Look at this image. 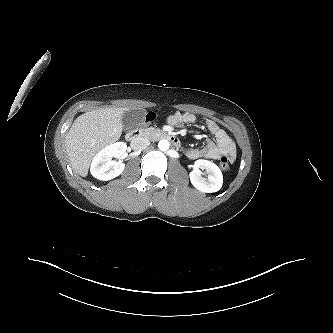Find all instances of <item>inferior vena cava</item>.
<instances>
[{
  "mask_svg": "<svg viewBox=\"0 0 333 333\" xmlns=\"http://www.w3.org/2000/svg\"><path fill=\"white\" fill-rule=\"evenodd\" d=\"M150 145V141L147 138H136L131 141V148L133 150H143Z\"/></svg>",
  "mask_w": 333,
  "mask_h": 333,
  "instance_id": "inferior-vena-cava-1",
  "label": "inferior vena cava"
}]
</instances>
